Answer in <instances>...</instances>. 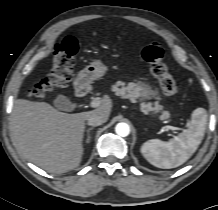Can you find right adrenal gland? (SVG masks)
I'll list each match as a JSON object with an SVG mask.
<instances>
[{
	"label": "right adrenal gland",
	"instance_id": "right-adrenal-gland-1",
	"mask_svg": "<svg viewBox=\"0 0 218 210\" xmlns=\"http://www.w3.org/2000/svg\"><path fill=\"white\" fill-rule=\"evenodd\" d=\"M93 128H89L88 130H87V139H86V143H89L90 142V139H91V137H90V131L92 130Z\"/></svg>",
	"mask_w": 218,
	"mask_h": 210
}]
</instances>
